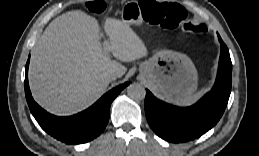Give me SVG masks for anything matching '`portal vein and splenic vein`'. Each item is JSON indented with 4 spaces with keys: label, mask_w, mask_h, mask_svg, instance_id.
<instances>
[{
    "label": "portal vein and splenic vein",
    "mask_w": 259,
    "mask_h": 156,
    "mask_svg": "<svg viewBox=\"0 0 259 156\" xmlns=\"http://www.w3.org/2000/svg\"><path fill=\"white\" fill-rule=\"evenodd\" d=\"M104 50L107 51L109 49V43L108 42H104Z\"/></svg>",
    "instance_id": "18ae733b"
}]
</instances>
